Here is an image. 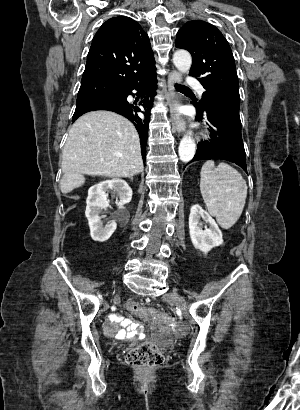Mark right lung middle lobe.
Here are the masks:
<instances>
[{
    "mask_svg": "<svg viewBox=\"0 0 300 410\" xmlns=\"http://www.w3.org/2000/svg\"><path fill=\"white\" fill-rule=\"evenodd\" d=\"M123 94V89L102 82H82L78 92L77 103L91 98L117 96Z\"/></svg>",
    "mask_w": 300,
    "mask_h": 410,
    "instance_id": "right-lung-middle-lobe-1",
    "label": "right lung middle lobe"
}]
</instances>
